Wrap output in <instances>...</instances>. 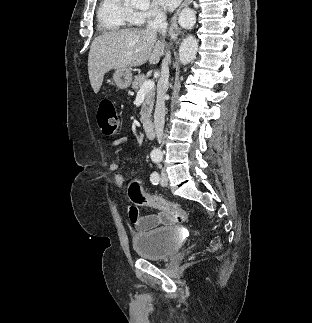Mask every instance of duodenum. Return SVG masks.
Instances as JSON below:
<instances>
[{
	"label": "duodenum",
	"instance_id": "duodenum-1",
	"mask_svg": "<svg viewBox=\"0 0 312 323\" xmlns=\"http://www.w3.org/2000/svg\"><path fill=\"white\" fill-rule=\"evenodd\" d=\"M141 127H142V130H143L144 134L148 138H150V139L155 138L153 124H152V121L149 118L143 117L141 119Z\"/></svg>",
	"mask_w": 312,
	"mask_h": 323
}]
</instances>
